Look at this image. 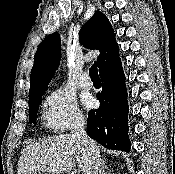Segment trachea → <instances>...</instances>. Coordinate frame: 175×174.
<instances>
[{"label": "trachea", "mask_w": 175, "mask_h": 174, "mask_svg": "<svg viewBox=\"0 0 175 174\" xmlns=\"http://www.w3.org/2000/svg\"><path fill=\"white\" fill-rule=\"evenodd\" d=\"M89 75L92 80H100V77L98 75V69H97V64L94 63L92 67L89 70Z\"/></svg>", "instance_id": "obj_1"}]
</instances>
